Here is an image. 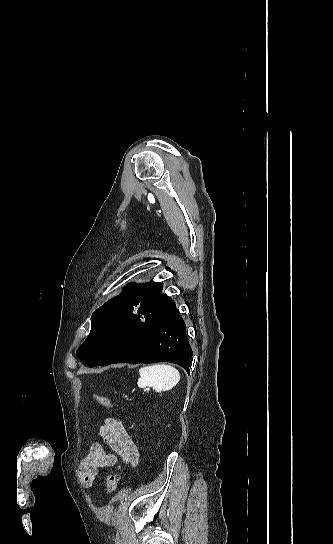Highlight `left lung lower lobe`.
<instances>
[{
    "instance_id": "0a47b994",
    "label": "left lung lower lobe",
    "mask_w": 333,
    "mask_h": 544,
    "mask_svg": "<svg viewBox=\"0 0 333 544\" xmlns=\"http://www.w3.org/2000/svg\"><path fill=\"white\" fill-rule=\"evenodd\" d=\"M103 359L97 366L114 363L172 362L189 373L192 349L186 336V325L176 305L150 324L137 323L127 345L119 356L101 347Z\"/></svg>"
}]
</instances>
